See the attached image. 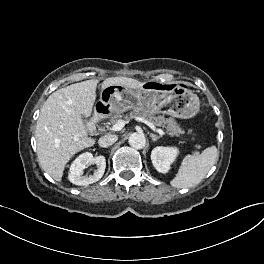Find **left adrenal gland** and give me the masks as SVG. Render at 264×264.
<instances>
[{
    "label": "left adrenal gland",
    "mask_w": 264,
    "mask_h": 264,
    "mask_svg": "<svg viewBox=\"0 0 264 264\" xmlns=\"http://www.w3.org/2000/svg\"><path fill=\"white\" fill-rule=\"evenodd\" d=\"M150 137L152 138V141H153V142H155V141H157L158 139L161 138V136H157V135H155V134H153V133H150Z\"/></svg>",
    "instance_id": "obj_1"
}]
</instances>
